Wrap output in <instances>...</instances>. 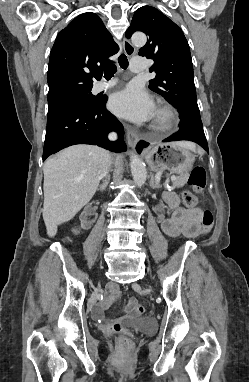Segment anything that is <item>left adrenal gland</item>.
<instances>
[{"label": "left adrenal gland", "mask_w": 249, "mask_h": 382, "mask_svg": "<svg viewBox=\"0 0 249 382\" xmlns=\"http://www.w3.org/2000/svg\"><path fill=\"white\" fill-rule=\"evenodd\" d=\"M150 187H151L152 189H159V188H161V185H160V184H156V183H155V179H154V175H153V174H151Z\"/></svg>", "instance_id": "1"}]
</instances>
